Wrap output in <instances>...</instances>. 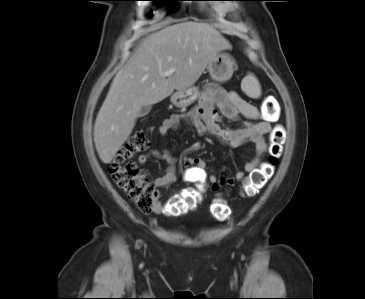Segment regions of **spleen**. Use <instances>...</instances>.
Segmentation results:
<instances>
[{
  "instance_id": "obj_1",
  "label": "spleen",
  "mask_w": 365,
  "mask_h": 299,
  "mask_svg": "<svg viewBox=\"0 0 365 299\" xmlns=\"http://www.w3.org/2000/svg\"><path fill=\"white\" fill-rule=\"evenodd\" d=\"M241 88L250 98L257 99L261 95L259 81L251 73L242 80Z\"/></svg>"
}]
</instances>
